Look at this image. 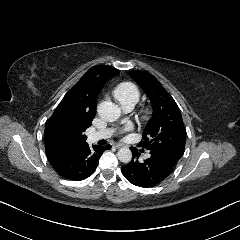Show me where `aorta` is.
I'll list each match as a JSON object with an SVG mask.
<instances>
[{"mask_svg":"<svg viewBox=\"0 0 240 240\" xmlns=\"http://www.w3.org/2000/svg\"><path fill=\"white\" fill-rule=\"evenodd\" d=\"M96 110L99 117H101L103 120L107 122H113L117 120L120 116L119 107L111 101L100 102L97 105ZM117 156L121 162L128 163L132 158V152L127 147H121L117 151Z\"/></svg>","mask_w":240,"mask_h":240,"instance_id":"aorta-1","label":"aorta"}]
</instances>
